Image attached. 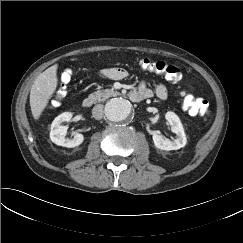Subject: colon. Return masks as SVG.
Returning a JSON list of instances; mask_svg holds the SVG:
<instances>
[{"label":"colon","mask_w":243,"mask_h":243,"mask_svg":"<svg viewBox=\"0 0 243 243\" xmlns=\"http://www.w3.org/2000/svg\"><path fill=\"white\" fill-rule=\"evenodd\" d=\"M137 63L143 69L164 75L170 82L176 83L181 79V71L175 65L163 61H152L148 58H138ZM71 78L72 70L70 68L65 69L61 75V84L52 99L53 104H57L66 95L67 84L71 81ZM184 104L193 114H208V102L203 98L193 99L190 96H186Z\"/></svg>","instance_id":"colon-1"}]
</instances>
